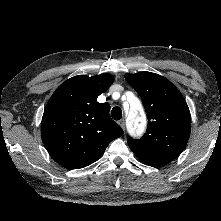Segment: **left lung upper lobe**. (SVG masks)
<instances>
[{"instance_id": "left-lung-upper-lobe-1", "label": "left lung upper lobe", "mask_w": 221, "mask_h": 221, "mask_svg": "<svg viewBox=\"0 0 221 221\" xmlns=\"http://www.w3.org/2000/svg\"><path fill=\"white\" fill-rule=\"evenodd\" d=\"M126 81L141 96L148 117L146 133L127 142L136 157L143 163L161 167L185 148L190 136L191 116L184 97L165 77L139 72L125 74Z\"/></svg>"}]
</instances>
